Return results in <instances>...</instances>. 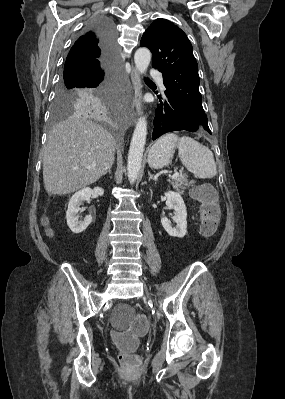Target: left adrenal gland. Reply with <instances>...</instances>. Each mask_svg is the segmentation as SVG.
I'll use <instances>...</instances> for the list:
<instances>
[{
  "mask_svg": "<svg viewBox=\"0 0 285 399\" xmlns=\"http://www.w3.org/2000/svg\"><path fill=\"white\" fill-rule=\"evenodd\" d=\"M148 175H149V179H148V181H150V180L157 181V178H156V177H153V175L151 174V172H150V171H148Z\"/></svg>",
  "mask_w": 285,
  "mask_h": 399,
  "instance_id": "left-adrenal-gland-1",
  "label": "left adrenal gland"
}]
</instances>
